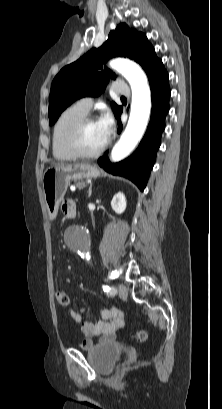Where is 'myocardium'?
<instances>
[{"label": "myocardium", "mask_w": 222, "mask_h": 409, "mask_svg": "<svg viewBox=\"0 0 222 409\" xmlns=\"http://www.w3.org/2000/svg\"><path fill=\"white\" fill-rule=\"evenodd\" d=\"M95 118L92 116H85L81 120H79L76 125L73 127L69 134L68 138V146L71 152L78 158H97L99 157L107 148L108 141L104 143V145L95 152H87L83 149L81 145V136L85 129V127L91 123L95 122Z\"/></svg>", "instance_id": "f54148a6"}]
</instances>
